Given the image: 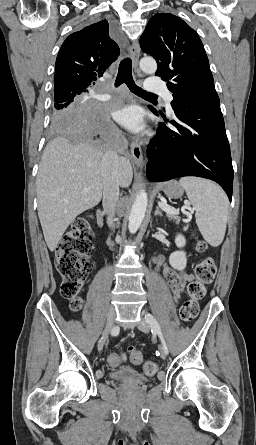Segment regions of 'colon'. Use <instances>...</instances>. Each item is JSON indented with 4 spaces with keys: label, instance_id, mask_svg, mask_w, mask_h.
<instances>
[{
    "label": "colon",
    "instance_id": "1",
    "mask_svg": "<svg viewBox=\"0 0 256 445\" xmlns=\"http://www.w3.org/2000/svg\"><path fill=\"white\" fill-rule=\"evenodd\" d=\"M206 248L204 242L197 244L199 253H204ZM91 249L90 217L78 216L64 233L55 253L56 269L61 277L60 293L70 301V308L73 311L81 308L79 294L85 279L93 269L89 257ZM216 271V262L212 256H206L197 265L195 279L187 288L188 298L180 308V318L184 323H191L198 316L199 302L206 296L207 288L213 283ZM129 354L134 364H139L143 359L142 353L137 349L130 348ZM124 360L123 353H112L109 356V363L112 366L120 365ZM143 371L148 376L154 375L157 364L154 361H146L143 364Z\"/></svg>",
    "mask_w": 256,
    "mask_h": 445
}]
</instances>
